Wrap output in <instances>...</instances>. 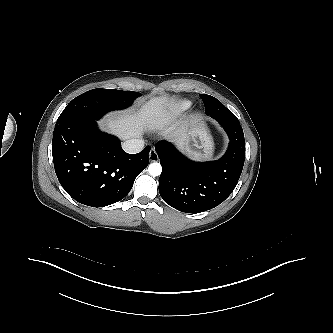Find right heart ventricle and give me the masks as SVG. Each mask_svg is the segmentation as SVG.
<instances>
[{
	"instance_id": "obj_1",
	"label": "right heart ventricle",
	"mask_w": 333,
	"mask_h": 333,
	"mask_svg": "<svg viewBox=\"0 0 333 333\" xmlns=\"http://www.w3.org/2000/svg\"><path fill=\"white\" fill-rule=\"evenodd\" d=\"M189 106H190L189 101H181L175 106L174 111L181 112V111L188 109Z\"/></svg>"
}]
</instances>
